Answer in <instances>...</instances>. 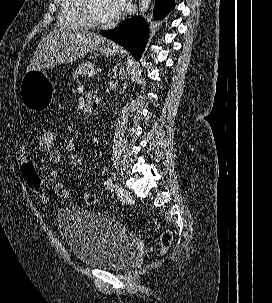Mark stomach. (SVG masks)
<instances>
[{
    "label": "stomach",
    "instance_id": "stomach-1",
    "mask_svg": "<svg viewBox=\"0 0 272 303\" xmlns=\"http://www.w3.org/2000/svg\"><path fill=\"white\" fill-rule=\"evenodd\" d=\"M99 51L104 56L118 54L111 43H103ZM20 94L23 105L30 111L46 109L53 100L54 85L44 70L27 71L21 80Z\"/></svg>",
    "mask_w": 272,
    "mask_h": 303
}]
</instances>
